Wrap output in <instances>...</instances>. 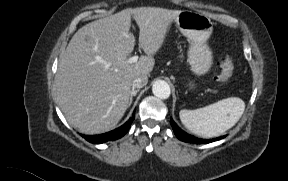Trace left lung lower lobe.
Returning <instances> with one entry per match:
<instances>
[{"instance_id": "obj_1", "label": "left lung lower lobe", "mask_w": 288, "mask_h": 181, "mask_svg": "<svg viewBox=\"0 0 288 181\" xmlns=\"http://www.w3.org/2000/svg\"><path fill=\"white\" fill-rule=\"evenodd\" d=\"M170 124H171V126L173 128V131H174L175 135L178 137V139L183 141V142H187V143L207 144V143H211V142L220 140V139L225 137V136H221V137H217L215 139H201V138H197V137H194L192 135H189L186 132L182 131L177 126V124L173 121V119L170 120Z\"/></svg>"}]
</instances>
